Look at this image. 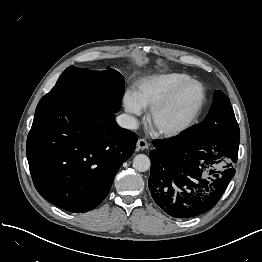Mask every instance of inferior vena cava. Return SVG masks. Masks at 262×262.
Returning <instances> with one entry per match:
<instances>
[{"label":"inferior vena cava","mask_w":262,"mask_h":262,"mask_svg":"<svg viewBox=\"0 0 262 262\" xmlns=\"http://www.w3.org/2000/svg\"><path fill=\"white\" fill-rule=\"evenodd\" d=\"M116 122L118 125L125 129H137L138 128V122L137 119L128 114H121L116 118Z\"/></svg>","instance_id":"obj_1"}]
</instances>
